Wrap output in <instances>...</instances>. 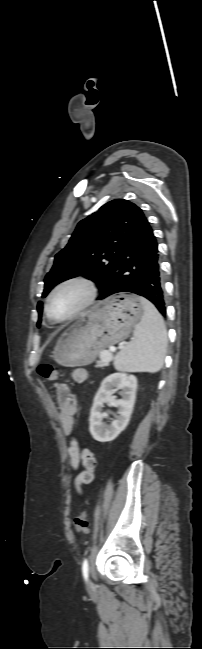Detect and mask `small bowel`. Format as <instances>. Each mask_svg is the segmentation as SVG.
Instances as JSON below:
<instances>
[{
    "label": "small bowel",
    "mask_w": 202,
    "mask_h": 649,
    "mask_svg": "<svg viewBox=\"0 0 202 649\" xmlns=\"http://www.w3.org/2000/svg\"><path fill=\"white\" fill-rule=\"evenodd\" d=\"M86 371L82 368L76 369L72 374V380L76 384L84 382ZM56 390L57 411L61 422L62 431L65 436H70L74 428V418L77 411L75 395L63 383L54 385ZM67 456L70 466L77 471L82 464L84 469L75 478V488L80 491L81 487L90 484L95 477L96 459L89 449H82L76 439H72L67 447Z\"/></svg>",
    "instance_id": "small-bowel-1"
}]
</instances>
